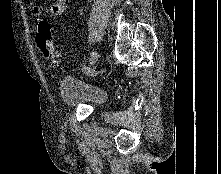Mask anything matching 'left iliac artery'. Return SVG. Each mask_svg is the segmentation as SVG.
I'll return each mask as SVG.
<instances>
[{
    "mask_svg": "<svg viewBox=\"0 0 221 174\" xmlns=\"http://www.w3.org/2000/svg\"><path fill=\"white\" fill-rule=\"evenodd\" d=\"M83 71L86 72V73H88V74H93V73H95V71L91 70L90 68H86V67L83 68Z\"/></svg>",
    "mask_w": 221,
    "mask_h": 174,
    "instance_id": "1",
    "label": "left iliac artery"
}]
</instances>
